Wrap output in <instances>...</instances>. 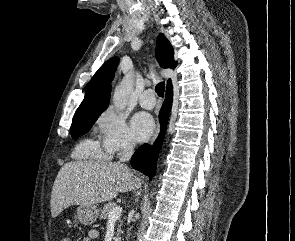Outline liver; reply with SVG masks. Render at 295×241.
Returning a JSON list of instances; mask_svg holds the SVG:
<instances>
[{
  "label": "liver",
  "instance_id": "6515ba94",
  "mask_svg": "<svg viewBox=\"0 0 295 241\" xmlns=\"http://www.w3.org/2000/svg\"><path fill=\"white\" fill-rule=\"evenodd\" d=\"M141 186L127 166L106 161H75L64 164L51 192V216L71 205H94L115 198L118 192Z\"/></svg>",
  "mask_w": 295,
  "mask_h": 241
}]
</instances>
